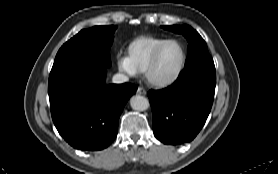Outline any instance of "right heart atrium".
I'll return each instance as SVG.
<instances>
[{
  "label": "right heart atrium",
  "mask_w": 278,
  "mask_h": 174,
  "mask_svg": "<svg viewBox=\"0 0 278 174\" xmlns=\"http://www.w3.org/2000/svg\"><path fill=\"white\" fill-rule=\"evenodd\" d=\"M118 67L122 72L128 75L137 74L136 69L133 67L132 63L130 62V59L127 56L118 57Z\"/></svg>",
  "instance_id": "obj_1"
}]
</instances>
